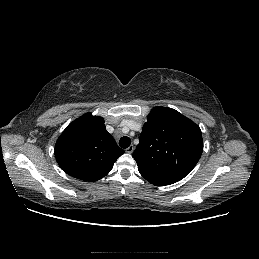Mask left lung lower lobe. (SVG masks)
<instances>
[{
	"label": "left lung lower lobe",
	"mask_w": 259,
	"mask_h": 259,
	"mask_svg": "<svg viewBox=\"0 0 259 259\" xmlns=\"http://www.w3.org/2000/svg\"><path fill=\"white\" fill-rule=\"evenodd\" d=\"M141 175L150 183L157 185V186H163V185H170L173 184L172 182H169L167 180H164L162 178L156 177L148 172L139 170Z\"/></svg>",
	"instance_id": "0a47b994"
}]
</instances>
